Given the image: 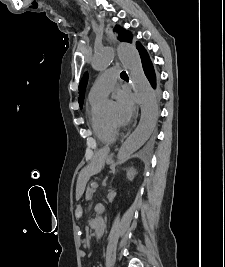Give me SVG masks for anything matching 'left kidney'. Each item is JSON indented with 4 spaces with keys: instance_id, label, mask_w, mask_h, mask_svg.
<instances>
[{
    "instance_id": "obj_1",
    "label": "left kidney",
    "mask_w": 225,
    "mask_h": 267,
    "mask_svg": "<svg viewBox=\"0 0 225 267\" xmlns=\"http://www.w3.org/2000/svg\"><path fill=\"white\" fill-rule=\"evenodd\" d=\"M135 175H136V171H135L134 168H129L127 170V178H128V180L132 181L134 179Z\"/></svg>"
}]
</instances>
